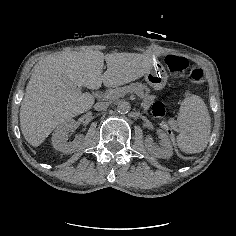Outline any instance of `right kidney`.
Listing matches in <instances>:
<instances>
[{
    "label": "right kidney",
    "mask_w": 236,
    "mask_h": 236,
    "mask_svg": "<svg viewBox=\"0 0 236 236\" xmlns=\"http://www.w3.org/2000/svg\"><path fill=\"white\" fill-rule=\"evenodd\" d=\"M74 121L67 120L52 136V145L54 149L61 151L65 154H72L80 152L85 147V136L78 134L72 143H67L69 131L73 129Z\"/></svg>",
    "instance_id": "obj_1"
}]
</instances>
